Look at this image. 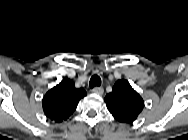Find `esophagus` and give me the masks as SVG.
Wrapping results in <instances>:
<instances>
[{
    "instance_id": "obj_1",
    "label": "esophagus",
    "mask_w": 188,
    "mask_h": 140,
    "mask_svg": "<svg viewBox=\"0 0 188 140\" xmlns=\"http://www.w3.org/2000/svg\"><path fill=\"white\" fill-rule=\"evenodd\" d=\"M92 92L94 93V94H98V95H102L103 94V92H104V89L102 88V87H94L93 89H92Z\"/></svg>"
}]
</instances>
